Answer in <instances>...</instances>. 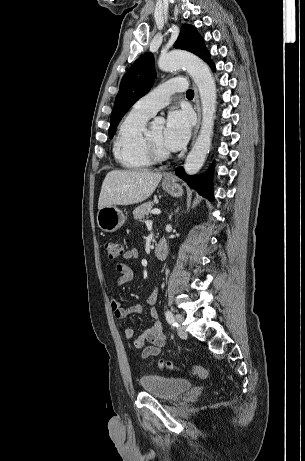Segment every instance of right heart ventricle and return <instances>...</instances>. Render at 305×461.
<instances>
[{
  "label": "right heart ventricle",
  "mask_w": 305,
  "mask_h": 461,
  "mask_svg": "<svg viewBox=\"0 0 305 461\" xmlns=\"http://www.w3.org/2000/svg\"><path fill=\"white\" fill-rule=\"evenodd\" d=\"M150 116L130 111L119 125L113 144L117 162L129 170H141L151 165L144 147V133Z\"/></svg>",
  "instance_id": "obj_1"
}]
</instances>
